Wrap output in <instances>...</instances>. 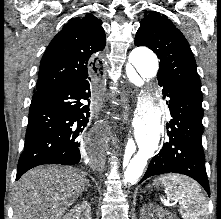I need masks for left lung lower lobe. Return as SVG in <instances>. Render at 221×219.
<instances>
[{
  "mask_svg": "<svg viewBox=\"0 0 221 219\" xmlns=\"http://www.w3.org/2000/svg\"><path fill=\"white\" fill-rule=\"evenodd\" d=\"M163 94L170 98L169 141L152 158L139 183L154 175L179 173L195 179L210 196L202 149V100L172 87L163 88Z\"/></svg>",
  "mask_w": 221,
  "mask_h": 219,
  "instance_id": "0a47b994",
  "label": "left lung lower lobe"
}]
</instances>
